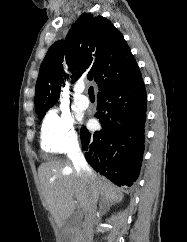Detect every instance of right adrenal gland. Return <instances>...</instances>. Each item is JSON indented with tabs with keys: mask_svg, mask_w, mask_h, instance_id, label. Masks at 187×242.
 Returning <instances> with one entry per match:
<instances>
[{
	"mask_svg": "<svg viewBox=\"0 0 187 242\" xmlns=\"http://www.w3.org/2000/svg\"><path fill=\"white\" fill-rule=\"evenodd\" d=\"M99 208H100V211H101V215H104L108 211L109 205H105L103 203V201H101L100 204H99Z\"/></svg>",
	"mask_w": 187,
	"mask_h": 242,
	"instance_id": "right-adrenal-gland-1",
	"label": "right adrenal gland"
}]
</instances>
